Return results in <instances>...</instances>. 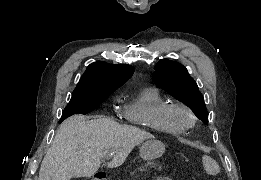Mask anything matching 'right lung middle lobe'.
I'll use <instances>...</instances> for the list:
<instances>
[{
  "mask_svg": "<svg viewBox=\"0 0 261 180\" xmlns=\"http://www.w3.org/2000/svg\"><path fill=\"white\" fill-rule=\"evenodd\" d=\"M109 95L73 93L72 98L63 111L60 123L73 114H87L96 109Z\"/></svg>",
  "mask_w": 261,
  "mask_h": 180,
  "instance_id": "obj_1",
  "label": "right lung middle lobe"
}]
</instances>
